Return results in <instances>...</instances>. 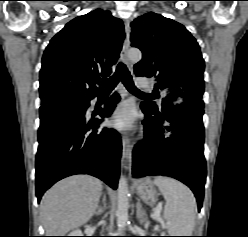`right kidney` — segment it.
<instances>
[{"label": "right kidney", "mask_w": 248, "mask_h": 237, "mask_svg": "<svg viewBox=\"0 0 248 237\" xmlns=\"http://www.w3.org/2000/svg\"><path fill=\"white\" fill-rule=\"evenodd\" d=\"M68 236H83V234H82V232L80 230H74Z\"/></svg>", "instance_id": "1"}]
</instances>
